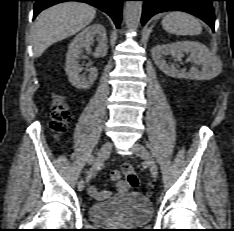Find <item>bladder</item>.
Returning a JSON list of instances; mask_svg holds the SVG:
<instances>
[{"label":"bladder","mask_w":234,"mask_h":231,"mask_svg":"<svg viewBox=\"0 0 234 231\" xmlns=\"http://www.w3.org/2000/svg\"><path fill=\"white\" fill-rule=\"evenodd\" d=\"M88 214L102 225L148 223L153 216L151 201L140 192H128L99 204L91 205Z\"/></svg>","instance_id":"31cf9c89"}]
</instances>
